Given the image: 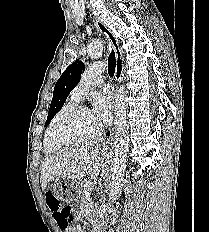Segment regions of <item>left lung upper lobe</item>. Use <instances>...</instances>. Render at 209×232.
<instances>
[{"mask_svg":"<svg viewBox=\"0 0 209 232\" xmlns=\"http://www.w3.org/2000/svg\"><path fill=\"white\" fill-rule=\"evenodd\" d=\"M84 68L85 65L82 61H76L72 63L58 79L54 87L53 98L45 125H47L63 107L69 93L80 81L81 73Z\"/></svg>","mask_w":209,"mask_h":232,"instance_id":"obj_1","label":"left lung upper lobe"}]
</instances>
